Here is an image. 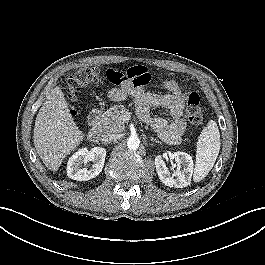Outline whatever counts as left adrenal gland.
Here are the masks:
<instances>
[{
    "instance_id": "1",
    "label": "left adrenal gland",
    "mask_w": 265,
    "mask_h": 265,
    "mask_svg": "<svg viewBox=\"0 0 265 265\" xmlns=\"http://www.w3.org/2000/svg\"><path fill=\"white\" fill-rule=\"evenodd\" d=\"M151 141H154V142H156V143L162 144L159 140L154 139L153 137L151 138Z\"/></svg>"
}]
</instances>
